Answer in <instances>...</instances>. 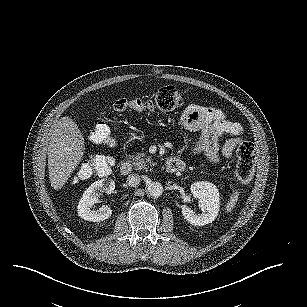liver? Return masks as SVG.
I'll return each mask as SVG.
<instances>
[{
  "label": "liver",
  "mask_w": 307,
  "mask_h": 307,
  "mask_svg": "<svg viewBox=\"0 0 307 307\" xmlns=\"http://www.w3.org/2000/svg\"><path fill=\"white\" fill-rule=\"evenodd\" d=\"M85 142L77 124L62 117L56 124L48 145V172L51 187L60 190L79 165Z\"/></svg>",
  "instance_id": "6515ba94"
}]
</instances>
